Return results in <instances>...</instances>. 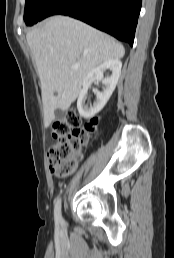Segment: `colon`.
<instances>
[{
  "label": "colon",
  "mask_w": 174,
  "mask_h": 258,
  "mask_svg": "<svg viewBox=\"0 0 174 258\" xmlns=\"http://www.w3.org/2000/svg\"><path fill=\"white\" fill-rule=\"evenodd\" d=\"M97 122V119H93L82 127L79 113L70 110L64 118L52 124L53 144L48 151V158L54 174L65 177L74 172L82 149L88 142V133Z\"/></svg>",
  "instance_id": "1"
}]
</instances>
